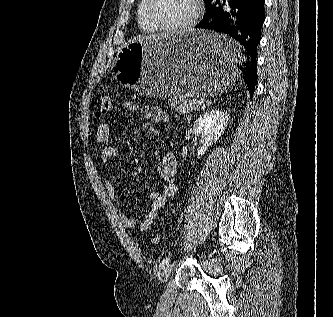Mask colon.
<instances>
[{
	"instance_id": "5ec220e1",
	"label": "colon",
	"mask_w": 333,
	"mask_h": 317,
	"mask_svg": "<svg viewBox=\"0 0 333 317\" xmlns=\"http://www.w3.org/2000/svg\"><path fill=\"white\" fill-rule=\"evenodd\" d=\"M111 98L109 95H101L97 101V106L95 110V117L101 118L109 113L111 110ZM151 243L153 245H158L160 243V235L159 234H153L151 236Z\"/></svg>"
}]
</instances>
